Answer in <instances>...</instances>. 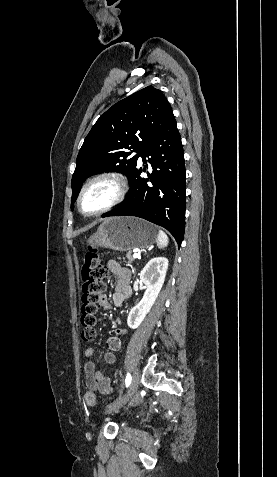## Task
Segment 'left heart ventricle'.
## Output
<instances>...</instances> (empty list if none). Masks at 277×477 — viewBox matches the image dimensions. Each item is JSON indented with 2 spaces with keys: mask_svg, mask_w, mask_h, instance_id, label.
Masks as SVG:
<instances>
[{
  "mask_svg": "<svg viewBox=\"0 0 277 477\" xmlns=\"http://www.w3.org/2000/svg\"><path fill=\"white\" fill-rule=\"evenodd\" d=\"M116 194V186L110 180H101L91 185L82 198L85 213L95 212L107 205Z\"/></svg>",
  "mask_w": 277,
  "mask_h": 477,
  "instance_id": "b2bd125f",
  "label": "left heart ventricle"
}]
</instances>
